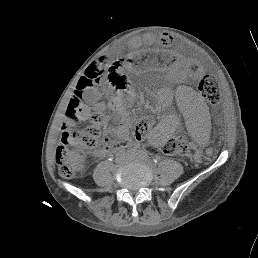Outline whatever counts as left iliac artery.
<instances>
[{
  "label": "left iliac artery",
  "mask_w": 258,
  "mask_h": 258,
  "mask_svg": "<svg viewBox=\"0 0 258 258\" xmlns=\"http://www.w3.org/2000/svg\"><path fill=\"white\" fill-rule=\"evenodd\" d=\"M141 156H143V157H144V156H146V154H145V155H142V154H141ZM159 158H160V157H159Z\"/></svg>",
  "instance_id": "44dca946"
}]
</instances>
